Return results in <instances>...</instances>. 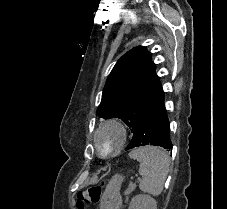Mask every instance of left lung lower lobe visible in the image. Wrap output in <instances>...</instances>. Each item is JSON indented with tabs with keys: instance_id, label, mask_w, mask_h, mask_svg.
Listing matches in <instances>:
<instances>
[{
	"instance_id": "1",
	"label": "left lung lower lobe",
	"mask_w": 227,
	"mask_h": 209,
	"mask_svg": "<svg viewBox=\"0 0 227 209\" xmlns=\"http://www.w3.org/2000/svg\"><path fill=\"white\" fill-rule=\"evenodd\" d=\"M144 145H155L165 149H172L169 121L164 106V93L155 100L141 117L126 150Z\"/></svg>"
}]
</instances>
